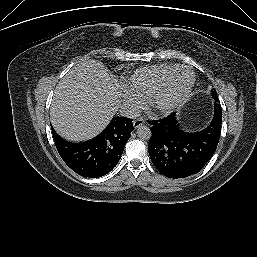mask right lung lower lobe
<instances>
[{
    "mask_svg": "<svg viewBox=\"0 0 257 257\" xmlns=\"http://www.w3.org/2000/svg\"><path fill=\"white\" fill-rule=\"evenodd\" d=\"M133 129L132 119L114 117L99 135L81 143L67 142L52 132L58 153L68 167L83 177L99 178L117 165Z\"/></svg>",
    "mask_w": 257,
    "mask_h": 257,
    "instance_id": "right-lung-lower-lobe-1",
    "label": "right lung lower lobe"
}]
</instances>
